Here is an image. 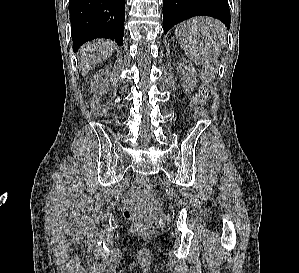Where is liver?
Instances as JSON below:
<instances>
[{
    "label": "liver",
    "instance_id": "1",
    "mask_svg": "<svg viewBox=\"0 0 299 273\" xmlns=\"http://www.w3.org/2000/svg\"><path fill=\"white\" fill-rule=\"evenodd\" d=\"M115 44L111 41L97 40L83 45L79 51L80 70L85 76L96 64L109 58L114 52Z\"/></svg>",
    "mask_w": 299,
    "mask_h": 273
}]
</instances>
